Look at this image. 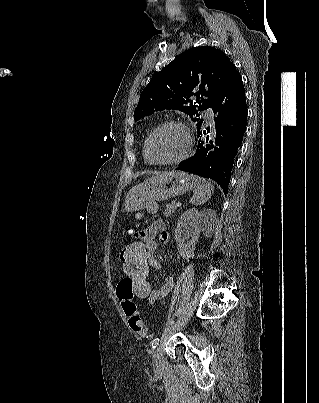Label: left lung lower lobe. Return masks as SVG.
Listing matches in <instances>:
<instances>
[{"mask_svg":"<svg viewBox=\"0 0 319 403\" xmlns=\"http://www.w3.org/2000/svg\"><path fill=\"white\" fill-rule=\"evenodd\" d=\"M214 114L215 140H209L210 128L198 130L196 153L181 162L177 170L190 172L216 181L228 192L231 171L247 125V104L242 78L235 66L229 69L210 106ZM206 135V140L202 136Z\"/></svg>","mask_w":319,"mask_h":403,"instance_id":"obj_1","label":"left lung lower lobe"}]
</instances>
